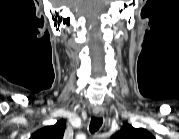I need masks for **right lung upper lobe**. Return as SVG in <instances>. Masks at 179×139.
<instances>
[{
    "label": "right lung upper lobe",
    "mask_w": 179,
    "mask_h": 139,
    "mask_svg": "<svg viewBox=\"0 0 179 139\" xmlns=\"http://www.w3.org/2000/svg\"><path fill=\"white\" fill-rule=\"evenodd\" d=\"M65 127L64 120L57 121L55 125L46 126L35 132L31 139H62Z\"/></svg>",
    "instance_id": "right-lung-upper-lobe-1"
}]
</instances>
